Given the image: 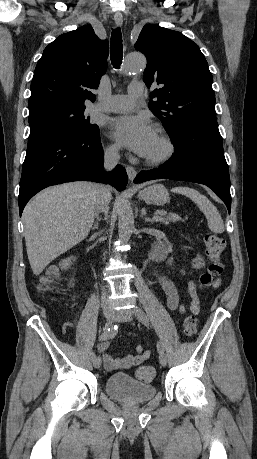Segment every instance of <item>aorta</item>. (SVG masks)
Instances as JSON below:
<instances>
[{"mask_svg":"<svg viewBox=\"0 0 257 459\" xmlns=\"http://www.w3.org/2000/svg\"><path fill=\"white\" fill-rule=\"evenodd\" d=\"M146 67V59L138 53L128 54L125 58L123 72L130 75L143 70ZM134 230V217L131 207L127 202H120L118 209V234L119 239L128 241Z\"/></svg>","mask_w":257,"mask_h":459,"instance_id":"obj_1","label":"aorta"}]
</instances>
